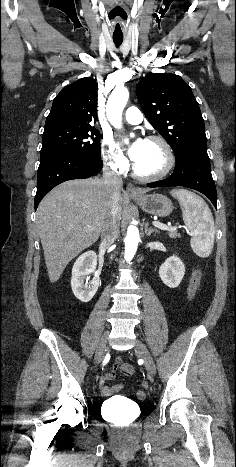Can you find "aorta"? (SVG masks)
Listing matches in <instances>:
<instances>
[{
    "label": "aorta",
    "instance_id": "obj_1",
    "mask_svg": "<svg viewBox=\"0 0 236 467\" xmlns=\"http://www.w3.org/2000/svg\"><path fill=\"white\" fill-rule=\"evenodd\" d=\"M129 99V91L124 87L115 88L108 98L106 104V114L110 123L117 129L122 127V112ZM140 240L139 230L136 226L130 225L125 237L126 261L133 259Z\"/></svg>",
    "mask_w": 236,
    "mask_h": 467
}]
</instances>
